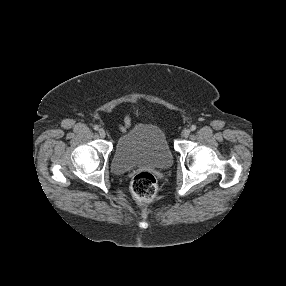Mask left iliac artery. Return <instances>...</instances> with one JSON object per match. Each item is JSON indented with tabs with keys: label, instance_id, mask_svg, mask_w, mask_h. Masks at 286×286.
I'll use <instances>...</instances> for the list:
<instances>
[{
	"label": "left iliac artery",
	"instance_id": "1",
	"mask_svg": "<svg viewBox=\"0 0 286 286\" xmlns=\"http://www.w3.org/2000/svg\"><path fill=\"white\" fill-rule=\"evenodd\" d=\"M190 129H191V131H195V130H196V126H195V125H192V126L190 127Z\"/></svg>",
	"mask_w": 286,
	"mask_h": 286
}]
</instances>
